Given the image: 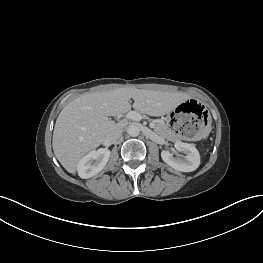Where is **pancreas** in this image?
Masks as SVG:
<instances>
[{
    "label": "pancreas",
    "mask_w": 263,
    "mask_h": 263,
    "mask_svg": "<svg viewBox=\"0 0 263 263\" xmlns=\"http://www.w3.org/2000/svg\"><path fill=\"white\" fill-rule=\"evenodd\" d=\"M152 122L155 124V133L166 139H173L172 131L169 129L167 124H165L162 120H152Z\"/></svg>",
    "instance_id": "1"
}]
</instances>
